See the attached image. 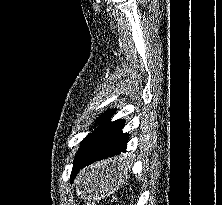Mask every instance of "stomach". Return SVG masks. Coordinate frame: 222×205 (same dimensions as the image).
<instances>
[{
	"label": "stomach",
	"instance_id": "1",
	"mask_svg": "<svg viewBox=\"0 0 222 205\" xmlns=\"http://www.w3.org/2000/svg\"><path fill=\"white\" fill-rule=\"evenodd\" d=\"M126 175L127 170L121 165L93 166L86 172L79 194L89 202L104 199L119 188Z\"/></svg>",
	"mask_w": 222,
	"mask_h": 205
}]
</instances>
